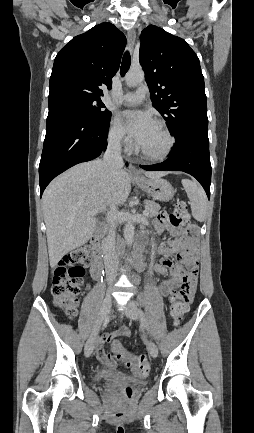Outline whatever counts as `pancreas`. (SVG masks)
I'll return each mask as SVG.
<instances>
[{
  "instance_id": "obj_1",
  "label": "pancreas",
  "mask_w": 254,
  "mask_h": 433,
  "mask_svg": "<svg viewBox=\"0 0 254 433\" xmlns=\"http://www.w3.org/2000/svg\"><path fill=\"white\" fill-rule=\"evenodd\" d=\"M144 204H145L146 209L148 210L147 217L152 218L158 214V212L160 210L159 204H157L156 202L151 201V200H145Z\"/></svg>"
}]
</instances>
